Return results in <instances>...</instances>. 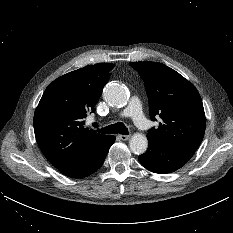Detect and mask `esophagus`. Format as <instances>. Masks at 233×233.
Returning a JSON list of instances; mask_svg holds the SVG:
<instances>
[{
    "label": "esophagus",
    "instance_id": "obj_1",
    "mask_svg": "<svg viewBox=\"0 0 233 233\" xmlns=\"http://www.w3.org/2000/svg\"><path fill=\"white\" fill-rule=\"evenodd\" d=\"M119 138L123 141H126L130 138V135H119Z\"/></svg>",
    "mask_w": 233,
    "mask_h": 233
}]
</instances>
